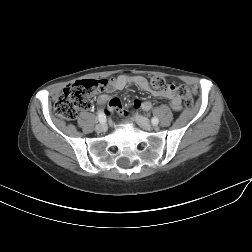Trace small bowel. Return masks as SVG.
<instances>
[{
  "mask_svg": "<svg viewBox=\"0 0 252 252\" xmlns=\"http://www.w3.org/2000/svg\"><path fill=\"white\" fill-rule=\"evenodd\" d=\"M129 85H135L139 89L143 91H149V85L146 78L142 75H129V74H122L116 78L110 79L106 83L105 91L107 93H114L117 91H121ZM154 96L159 98H167L170 100L171 107L179 111L181 110V99L175 94L174 88H166L158 91L152 92ZM109 103L112 109L117 110L119 113L125 115L126 112L123 109L121 102L117 98H111L107 94H102L98 98V103L103 105L105 103ZM135 106L141 108L144 111H148L152 108L153 104L150 101H135Z\"/></svg>",
  "mask_w": 252,
  "mask_h": 252,
  "instance_id": "small-bowel-1",
  "label": "small bowel"
}]
</instances>
